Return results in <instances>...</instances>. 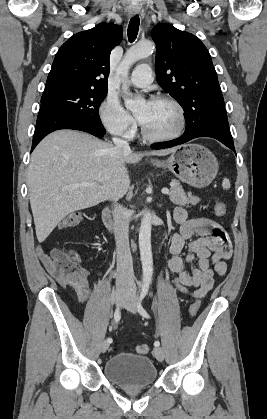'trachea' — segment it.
Segmentation results:
<instances>
[{
	"label": "trachea",
	"instance_id": "3493384b",
	"mask_svg": "<svg viewBox=\"0 0 267 419\" xmlns=\"http://www.w3.org/2000/svg\"><path fill=\"white\" fill-rule=\"evenodd\" d=\"M139 24H140V19L138 15H135L134 17L130 19L127 34H128V39L131 43L137 37L138 31H139Z\"/></svg>",
	"mask_w": 267,
	"mask_h": 419
}]
</instances>
